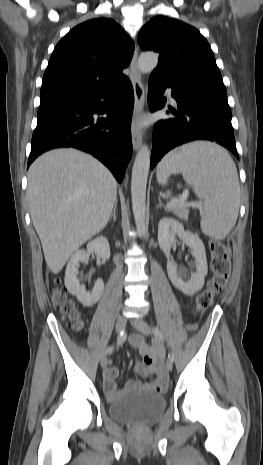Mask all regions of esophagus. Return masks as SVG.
Here are the masks:
<instances>
[{"instance_id":"esophagus-1","label":"esophagus","mask_w":263,"mask_h":465,"mask_svg":"<svg viewBox=\"0 0 263 465\" xmlns=\"http://www.w3.org/2000/svg\"><path fill=\"white\" fill-rule=\"evenodd\" d=\"M138 60V47L136 46L131 63H130V81L134 90L135 104H134V113L132 120V144L133 149L137 150L142 142L141 131L138 127V121L142 116L144 101H145V90L141 82V74L137 64Z\"/></svg>"}]
</instances>
